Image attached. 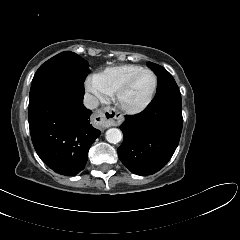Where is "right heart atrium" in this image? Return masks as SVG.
Masks as SVG:
<instances>
[{"instance_id":"right-heart-atrium-1","label":"right heart atrium","mask_w":240,"mask_h":240,"mask_svg":"<svg viewBox=\"0 0 240 240\" xmlns=\"http://www.w3.org/2000/svg\"><path fill=\"white\" fill-rule=\"evenodd\" d=\"M86 88L100 100H104L108 96V93L101 87L97 76H91L86 80Z\"/></svg>"}]
</instances>
